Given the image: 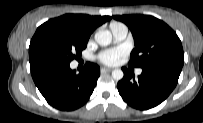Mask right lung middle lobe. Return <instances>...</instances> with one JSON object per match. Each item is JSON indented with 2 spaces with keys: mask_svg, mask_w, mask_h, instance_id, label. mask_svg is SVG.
I'll return each mask as SVG.
<instances>
[{
  "mask_svg": "<svg viewBox=\"0 0 203 123\" xmlns=\"http://www.w3.org/2000/svg\"><path fill=\"white\" fill-rule=\"evenodd\" d=\"M87 37L72 25L50 19L39 26L30 42L29 61L55 59L70 63L86 48Z\"/></svg>",
  "mask_w": 203,
  "mask_h": 123,
  "instance_id": "dd1d6c3e",
  "label": "right lung middle lobe"
}]
</instances>
